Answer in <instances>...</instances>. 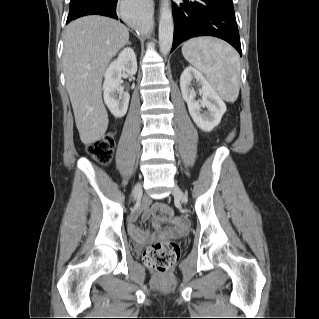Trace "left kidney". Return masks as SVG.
Segmentation results:
<instances>
[{"instance_id": "5707ae66", "label": "left kidney", "mask_w": 319, "mask_h": 319, "mask_svg": "<svg viewBox=\"0 0 319 319\" xmlns=\"http://www.w3.org/2000/svg\"><path fill=\"white\" fill-rule=\"evenodd\" d=\"M201 87L202 99H195V91L191 82ZM180 88L183 99L188 105L189 113L196 125L205 132H210L216 127L226 112V105L215 90L209 85L205 77L195 68L188 66L180 77ZM202 108L207 110L203 111Z\"/></svg>"}]
</instances>
